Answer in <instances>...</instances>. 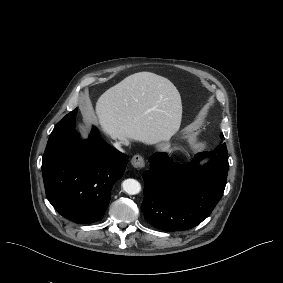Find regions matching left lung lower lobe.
I'll return each instance as SVG.
<instances>
[{
    "label": "left lung lower lobe",
    "instance_id": "left-lung-lower-lobe-1",
    "mask_svg": "<svg viewBox=\"0 0 283 283\" xmlns=\"http://www.w3.org/2000/svg\"><path fill=\"white\" fill-rule=\"evenodd\" d=\"M204 158L210 160L200 166ZM192 163L194 167L185 168L166 153L151 156V169L143 173L141 210L153 227L170 232L191 229L207 218L221 199L229 168L226 144L196 154Z\"/></svg>",
    "mask_w": 283,
    "mask_h": 283
}]
</instances>
